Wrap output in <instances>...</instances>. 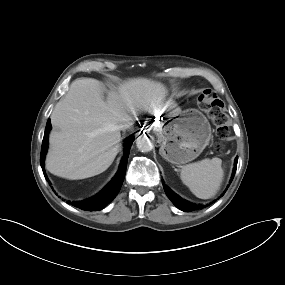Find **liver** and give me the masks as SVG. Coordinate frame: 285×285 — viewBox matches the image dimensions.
Wrapping results in <instances>:
<instances>
[{"label":"liver","instance_id":"obj_1","mask_svg":"<svg viewBox=\"0 0 285 285\" xmlns=\"http://www.w3.org/2000/svg\"><path fill=\"white\" fill-rule=\"evenodd\" d=\"M167 90L146 78L125 81L117 92L101 95L99 81L76 79L55 106L46 157L47 170L59 177L78 180L98 175L113 163L121 140L120 126L139 111L162 114L175 108ZM180 108L170 113H179Z\"/></svg>","mask_w":285,"mask_h":285}]
</instances>
